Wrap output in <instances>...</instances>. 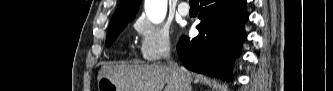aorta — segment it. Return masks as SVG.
Segmentation results:
<instances>
[{"label": "aorta", "instance_id": "aorta-1", "mask_svg": "<svg viewBox=\"0 0 333 91\" xmlns=\"http://www.w3.org/2000/svg\"><path fill=\"white\" fill-rule=\"evenodd\" d=\"M145 11L152 22L160 23L166 15L167 0H146Z\"/></svg>", "mask_w": 333, "mask_h": 91}]
</instances>
